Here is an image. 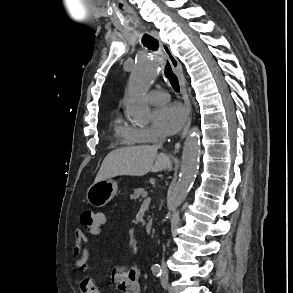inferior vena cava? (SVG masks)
Returning a JSON list of instances; mask_svg holds the SVG:
<instances>
[{"label": "inferior vena cava", "instance_id": "inferior-vena-cava-1", "mask_svg": "<svg viewBox=\"0 0 293 293\" xmlns=\"http://www.w3.org/2000/svg\"><path fill=\"white\" fill-rule=\"evenodd\" d=\"M164 141H165V136H161L159 142L155 145V148L157 149L162 148ZM162 270L164 273L167 272V268H166V264L164 260L162 261Z\"/></svg>", "mask_w": 293, "mask_h": 293}]
</instances>
